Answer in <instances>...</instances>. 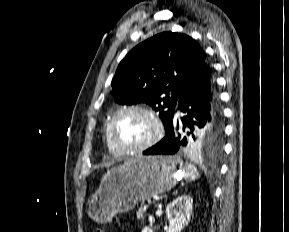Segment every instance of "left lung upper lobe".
I'll return each mask as SVG.
<instances>
[{"instance_id":"5c2ea615","label":"left lung upper lobe","mask_w":289,"mask_h":232,"mask_svg":"<svg viewBox=\"0 0 289 232\" xmlns=\"http://www.w3.org/2000/svg\"><path fill=\"white\" fill-rule=\"evenodd\" d=\"M205 62V53L191 37L160 33L134 47L120 62L112 93L121 104L151 105L159 111L166 131L181 94ZM222 135L223 123L219 122L191 136L185 151L219 153Z\"/></svg>"}]
</instances>
